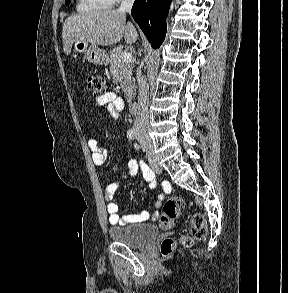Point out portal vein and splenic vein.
Returning a JSON list of instances; mask_svg holds the SVG:
<instances>
[{"label":"portal vein and splenic vein","mask_w":288,"mask_h":293,"mask_svg":"<svg viewBox=\"0 0 288 293\" xmlns=\"http://www.w3.org/2000/svg\"><path fill=\"white\" fill-rule=\"evenodd\" d=\"M121 59L123 62L130 63L133 61V55L130 52H125L121 55Z\"/></svg>","instance_id":"18ae733b"}]
</instances>
